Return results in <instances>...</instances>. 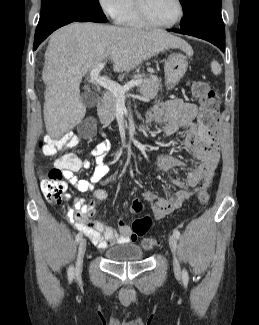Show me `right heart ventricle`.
I'll return each instance as SVG.
<instances>
[{"label":"right heart ventricle","mask_w":259,"mask_h":325,"mask_svg":"<svg viewBox=\"0 0 259 325\" xmlns=\"http://www.w3.org/2000/svg\"><path fill=\"white\" fill-rule=\"evenodd\" d=\"M118 22L121 25L135 28L144 25L137 12L136 0L131 1L129 8L119 17Z\"/></svg>","instance_id":"obj_1"}]
</instances>
